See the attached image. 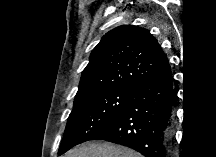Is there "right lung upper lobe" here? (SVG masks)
Segmentation results:
<instances>
[{
    "instance_id": "right-lung-upper-lobe-1",
    "label": "right lung upper lobe",
    "mask_w": 216,
    "mask_h": 157,
    "mask_svg": "<svg viewBox=\"0 0 216 157\" xmlns=\"http://www.w3.org/2000/svg\"><path fill=\"white\" fill-rule=\"evenodd\" d=\"M157 40L144 28L122 25L106 33L82 72L75 100L96 91L134 87L168 64Z\"/></svg>"
}]
</instances>
